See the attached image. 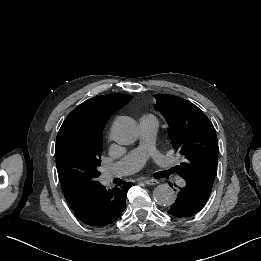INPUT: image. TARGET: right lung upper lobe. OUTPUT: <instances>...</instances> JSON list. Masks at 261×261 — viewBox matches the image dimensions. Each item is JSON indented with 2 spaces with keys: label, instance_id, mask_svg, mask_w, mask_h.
I'll use <instances>...</instances> for the list:
<instances>
[{
  "label": "right lung upper lobe",
  "instance_id": "cb5924a9",
  "mask_svg": "<svg viewBox=\"0 0 261 261\" xmlns=\"http://www.w3.org/2000/svg\"><path fill=\"white\" fill-rule=\"evenodd\" d=\"M132 96L107 94L86 100L77 106L63 122L56 139L55 155L63 144L75 136L102 143L103 128L113 112L123 107Z\"/></svg>",
  "mask_w": 261,
  "mask_h": 261
}]
</instances>
